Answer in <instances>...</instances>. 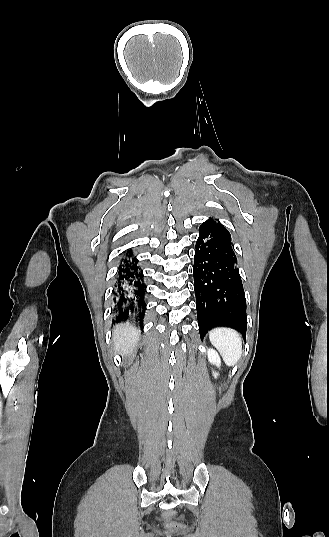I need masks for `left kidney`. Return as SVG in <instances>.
Wrapping results in <instances>:
<instances>
[{"mask_svg":"<svg viewBox=\"0 0 329 537\" xmlns=\"http://www.w3.org/2000/svg\"><path fill=\"white\" fill-rule=\"evenodd\" d=\"M207 353L209 361L219 367L221 365V360L218 353L214 349H209ZM214 376L217 377V374L215 373Z\"/></svg>","mask_w":329,"mask_h":537,"instance_id":"5707ae66","label":"left kidney"}]
</instances>
